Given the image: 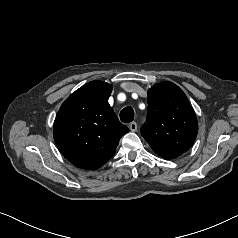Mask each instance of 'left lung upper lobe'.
Listing matches in <instances>:
<instances>
[{
    "mask_svg": "<svg viewBox=\"0 0 238 238\" xmlns=\"http://www.w3.org/2000/svg\"><path fill=\"white\" fill-rule=\"evenodd\" d=\"M148 124L141 134L159 156L172 159L194 143L198 123L184 92L171 82L154 85L148 91Z\"/></svg>",
    "mask_w": 238,
    "mask_h": 238,
    "instance_id": "5c2ea615",
    "label": "left lung upper lobe"
}]
</instances>
